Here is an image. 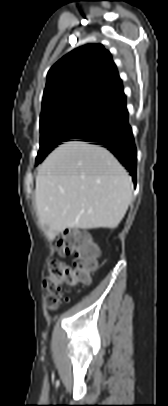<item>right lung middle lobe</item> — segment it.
I'll list each match as a JSON object with an SVG mask.
<instances>
[{"instance_id":"1","label":"right lung middle lobe","mask_w":168,"mask_h":406,"mask_svg":"<svg viewBox=\"0 0 168 406\" xmlns=\"http://www.w3.org/2000/svg\"><path fill=\"white\" fill-rule=\"evenodd\" d=\"M109 104L83 102L69 105L40 118V149L35 164H39L62 142L79 139L105 124L111 118Z\"/></svg>"}]
</instances>
